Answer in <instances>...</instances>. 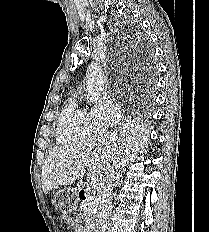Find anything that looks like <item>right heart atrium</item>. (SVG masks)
Wrapping results in <instances>:
<instances>
[{
    "mask_svg": "<svg viewBox=\"0 0 209 232\" xmlns=\"http://www.w3.org/2000/svg\"><path fill=\"white\" fill-rule=\"evenodd\" d=\"M89 115L94 131L99 133L118 121L119 110L110 98L104 97L93 105Z\"/></svg>",
    "mask_w": 209,
    "mask_h": 232,
    "instance_id": "right-heart-atrium-1",
    "label": "right heart atrium"
}]
</instances>
